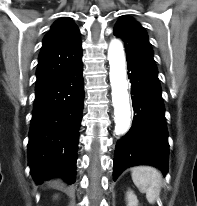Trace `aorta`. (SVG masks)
Masks as SVG:
<instances>
[{
	"label": "aorta",
	"mask_w": 197,
	"mask_h": 206,
	"mask_svg": "<svg viewBox=\"0 0 197 206\" xmlns=\"http://www.w3.org/2000/svg\"><path fill=\"white\" fill-rule=\"evenodd\" d=\"M110 65V83L115 115V134L122 135L130 127L131 111L126 80V64L122 43L114 39L108 49Z\"/></svg>",
	"instance_id": "762f6f07"
}]
</instances>
